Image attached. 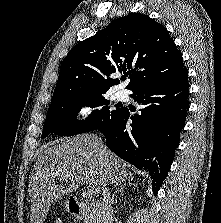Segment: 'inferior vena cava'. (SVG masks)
Returning <instances> with one entry per match:
<instances>
[{
    "mask_svg": "<svg viewBox=\"0 0 221 223\" xmlns=\"http://www.w3.org/2000/svg\"><path fill=\"white\" fill-rule=\"evenodd\" d=\"M99 145L102 146V140L99 139ZM102 221L103 223H112V207H111V199L110 192L107 184L103 185L102 189Z\"/></svg>",
    "mask_w": 221,
    "mask_h": 223,
    "instance_id": "inferior-vena-cava-1",
    "label": "inferior vena cava"
}]
</instances>
